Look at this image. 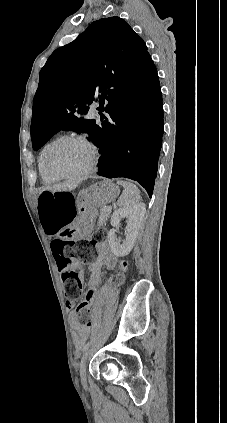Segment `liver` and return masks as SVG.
<instances>
[{"label": "liver", "instance_id": "6515ba94", "mask_svg": "<svg viewBox=\"0 0 227 423\" xmlns=\"http://www.w3.org/2000/svg\"><path fill=\"white\" fill-rule=\"evenodd\" d=\"M76 184L73 182H60V184H51V186H44L42 192L44 190H51V192H71V190H75Z\"/></svg>", "mask_w": 227, "mask_h": 423}]
</instances>
